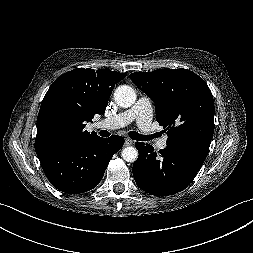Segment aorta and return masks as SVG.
I'll use <instances>...</instances> for the list:
<instances>
[{"label": "aorta", "mask_w": 253, "mask_h": 253, "mask_svg": "<svg viewBox=\"0 0 253 253\" xmlns=\"http://www.w3.org/2000/svg\"><path fill=\"white\" fill-rule=\"evenodd\" d=\"M135 90L128 85H121L114 92V100L121 107H130L136 101ZM122 158L127 162H135L138 158V151L135 147H125L121 152Z\"/></svg>", "instance_id": "1"}]
</instances>
